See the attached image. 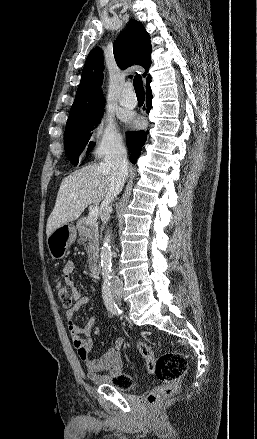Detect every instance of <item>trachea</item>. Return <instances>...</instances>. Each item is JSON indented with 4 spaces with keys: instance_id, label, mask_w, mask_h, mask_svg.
<instances>
[{
    "instance_id": "1",
    "label": "trachea",
    "mask_w": 257,
    "mask_h": 439,
    "mask_svg": "<svg viewBox=\"0 0 257 439\" xmlns=\"http://www.w3.org/2000/svg\"><path fill=\"white\" fill-rule=\"evenodd\" d=\"M134 89L136 92V95H140V96H144L145 92H144V87H143V81H142V77L139 74H136L135 78H134Z\"/></svg>"
}]
</instances>
